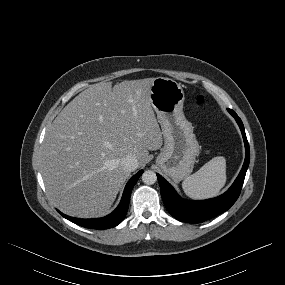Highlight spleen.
<instances>
[{"mask_svg": "<svg viewBox=\"0 0 285 285\" xmlns=\"http://www.w3.org/2000/svg\"><path fill=\"white\" fill-rule=\"evenodd\" d=\"M226 180V159L217 156L187 177L182 182V188L192 199H208L220 193Z\"/></svg>", "mask_w": 285, "mask_h": 285, "instance_id": "obj_1", "label": "spleen"}]
</instances>
